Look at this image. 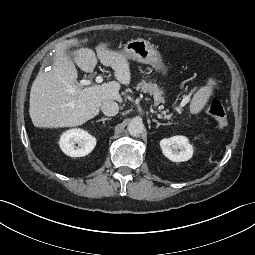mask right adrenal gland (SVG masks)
<instances>
[{
    "mask_svg": "<svg viewBox=\"0 0 255 255\" xmlns=\"http://www.w3.org/2000/svg\"><path fill=\"white\" fill-rule=\"evenodd\" d=\"M106 120H111V118H101V119H99L97 122H102L103 124H105V121Z\"/></svg>",
    "mask_w": 255,
    "mask_h": 255,
    "instance_id": "right-adrenal-gland-1",
    "label": "right adrenal gland"
}]
</instances>
